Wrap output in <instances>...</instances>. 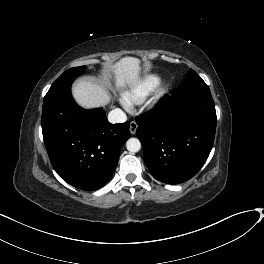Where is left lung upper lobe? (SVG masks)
<instances>
[{
  "label": "left lung upper lobe",
  "mask_w": 264,
  "mask_h": 264,
  "mask_svg": "<svg viewBox=\"0 0 264 264\" xmlns=\"http://www.w3.org/2000/svg\"><path fill=\"white\" fill-rule=\"evenodd\" d=\"M203 79L192 69H190L186 75V79L179 86V88L191 86V85H204Z\"/></svg>",
  "instance_id": "left-lung-upper-lobe-1"
}]
</instances>
